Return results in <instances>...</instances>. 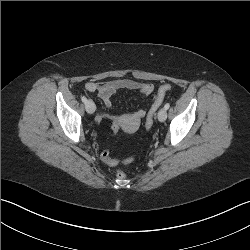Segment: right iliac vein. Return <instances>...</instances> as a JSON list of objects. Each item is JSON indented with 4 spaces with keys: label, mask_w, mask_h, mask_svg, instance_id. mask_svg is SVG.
I'll list each match as a JSON object with an SVG mask.
<instances>
[{
    "label": "right iliac vein",
    "mask_w": 250,
    "mask_h": 250,
    "mask_svg": "<svg viewBox=\"0 0 250 250\" xmlns=\"http://www.w3.org/2000/svg\"><path fill=\"white\" fill-rule=\"evenodd\" d=\"M85 109L89 114H93L96 110V106L92 100H88L85 103Z\"/></svg>",
    "instance_id": "obj_1"
}]
</instances>
